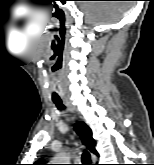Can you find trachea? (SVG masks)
Segmentation results:
<instances>
[{
	"label": "trachea",
	"instance_id": "trachea-1",
	"mask_svg": "<svg viewBox=\"0 0 154 165\" xmlns=\"http://www.w3.org/2000/svg\"><path fill=\"white\" fill-rule=\"evenodd\" d=\"M55 105L59 110L64 109V106L62 105V101L60 98H53L52 99ZM82 165H91V156L88 151H84L82 154Z\"/></svg>",
	"mask_w": 154,
	"mask_h": 165
}]
</instances>
